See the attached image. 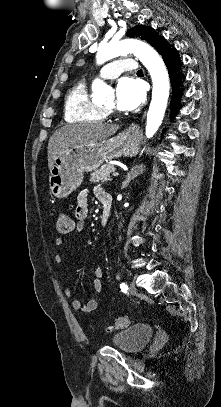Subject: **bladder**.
<instances>
[{
	"label": "bladder",
	"mask_w": 221,
	"mask_h": 407,
	"mask_svg": "<svg viewBox=\"0 0 221 407\" xmlns=\"http://www.w3.org/2000/svg\"><path fill=\"white\" fill-rule=\"evenodd\" d=\"M154 326L150 323H136L113 335L116 346L126 353L143 350L150 342Z\"/></svg>",
	"instance_id": "1"
}]
</instances>
